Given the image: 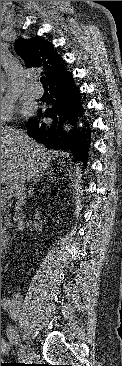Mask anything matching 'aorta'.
I'll use <instances>...</instances> for the list:
<instances>
[{
  "label": "aorta",
  "instance_id": "762f6f07",
  "mask_svg": "<svg viewBox=\"0 0 122 366\" xmlns=\"http://www.w3.org/2000/svg\"><path fill=\"white\" fill-rule=\"evenodd\" d=\"M5 86V80L4 77L1 75V88Z\"/></svg>",
  "mask_w": 122,
  "mask_h": 366
}]
</instances>
